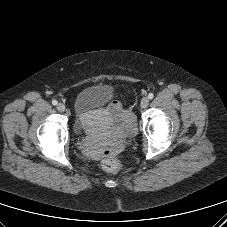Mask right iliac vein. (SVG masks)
Segmentation results:
<instances>
[{"label":"right iliac vein","mask_w":227,"mask_h":227,"mask_svg":"<svg viewBox=\"0 0 227 227\" xmlns=\"http://www.w3.org/2000/svg\"><path fill=\"white\" fill-rule=\"evenodd\" d=\"M57 110L59 111V112H63V111H65V105L64 104H62V103H59V104H57Z\"/></svg>","instance_id":"1"}]
</instances>
